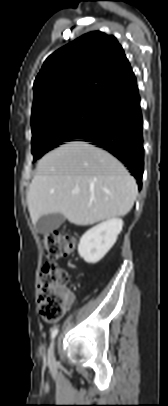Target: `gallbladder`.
I'll list each match as a JSON object with an SVG mask.
<instances>
[{"label":"gallbladder","instance_id":"gallbladder-1","mask_svg":"<svg viewBox=\"0 0 168 406\" xmlns=\"http://www.w3.org/2000/svg\"><path fill=\"white\" fill-rule=\"evenodd\" d=\"M65 222V217L59 213L41 216L35 224L37 232L49 234Z\"/></svg>","mask_w":168,"mask_h":406}]
</instances>
